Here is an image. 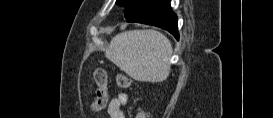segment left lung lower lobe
I'll return each instance as SVG.
<instances>
[{"label":"left lung lower lobe","instance_id":"obj_1","mask_svg":"<svg viewBox=\"0 0 273 118\" xmlns=\"http://www.w3.org/2000/svg\"><path fill=\"white\" fill-rule=\"evenodd\" d=\"M138 23L154 25L163 28L174 35L176 39H179L177 16L171 9L170 0L161 10L146 17Z\"/></svg>","mask_w":273,"mask_h":118}]
</instances>
